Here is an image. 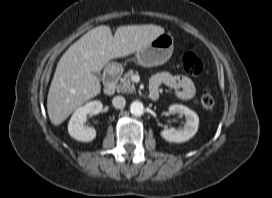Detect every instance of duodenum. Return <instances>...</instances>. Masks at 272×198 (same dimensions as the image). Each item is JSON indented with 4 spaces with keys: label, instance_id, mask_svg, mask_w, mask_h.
Listing matches in <instances>:
<instances>
[{
    "label": "duodenum",
    "instance_id": "410a0bca",
    "mask_svg": "<svg viewBox=\"0 0 272 198\" xmlns=\"http://www.w3.org/2000/svg\"><path fill=\"white\" fill-rule=\"evenodd\" d=\"M121 75H122V70L119 67H111L106 71L105 84L103 87V92L106 95L114 94L117 83H118ZM154 96H157V94L155 93Z\"/></svg>",
    "mask_w": 272,
    "mask_h": 198
}]
</instances>
